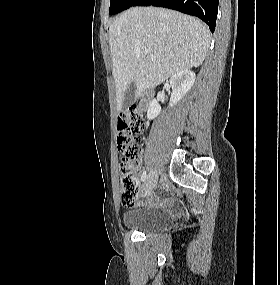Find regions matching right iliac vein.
<instances>
[{
  "label": "right iliac vein",
  "mask_w": 280,
  "mask_h": 285,
  "mask_svg": "<svg viewBox=\"0 0 280 285\" xmlns=\"http://www.w3.org/2000/svg\"><path fill=\"white\" fill-rule=\"evenodd\" d=\"M157 178H158L157 173L155 171H151L143 185V193L145 195H149L152 192V190L155 188L157 183Z\"/></svg>",
  "instance_id": "63e3f726"
}]
</instances>
